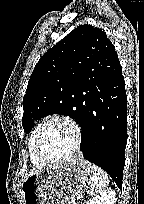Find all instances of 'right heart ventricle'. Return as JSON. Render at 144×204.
Wrapping results in <instances>:
<instances>
[{"label": "right heart ventricle", "mask_w": 144, "mask_h": 204, "mask_svg": "<svg viewBox=\"0 0 144 204\" xmlns=\"http://www.w3.org/2000/svg\"><path fill=\"white\" fill-rule=\"evenodd\" d=\"M43 123H44L43 121H40L35 125V127L33 128L32 132H31V134L29 136V139H28L29 158H30L31 163L36 167H43V166L46 165L45 162L41 161L36 156L35 148H34L36 135H37L40 127L43 125Z\"/></svg>", "instance_id": "1"}]
</instances>
